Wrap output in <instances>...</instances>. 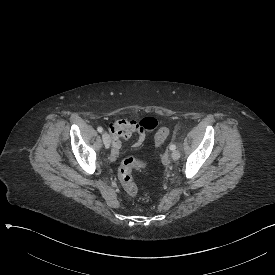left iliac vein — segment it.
<instances>
[{"label": "left iliac vein", "instance_id": "left-iliac-vein-1", "mask_svg": "<svg viewBox=\"0 0 275 275\" xmlns=\"http://www.w3.org/2000/svg\"><path fill=\"white\" fill-rule=\"evenodd\" d=\"M179 157H180V153H179V151L178 150H173L172 151V153H171V158L173 159V160H178L179 159Z\"/></svg>", "mask_w": 275, "mask_h": 275}]
</instances>
